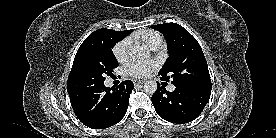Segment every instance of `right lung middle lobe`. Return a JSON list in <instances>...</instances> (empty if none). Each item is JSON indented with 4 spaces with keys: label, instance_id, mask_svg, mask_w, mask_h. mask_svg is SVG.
Instances as JSON below:
<instances>
[{
    "label": "right lung middle lobe",
    "instance_id": "dd1d6c3e",
    "mask_svg": "<svg viewBox=\"0 0 276 138\" xmlns=\"http://www.w3.org/2000/svg\"><path fill=\"white\" fill-rule=\"evenodd\" d=\"M120 40L114 30L101 29L89 35L78 49L67 81L68 93L104 84L118 66L112 48Z\"/></svg>",
    "mask_w": 276,
    "mask_h": 138
}]
</instances>
